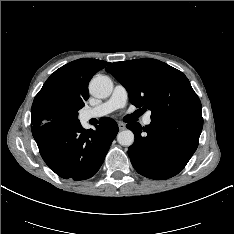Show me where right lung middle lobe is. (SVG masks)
Returning <instances> with one entry per match:
<instances>
[{"label": "right lung middle lobe", "mask_w": 234, "mask_h": 234, "mask_svg": "<svg viewBox=\"0 0 234 234\" xmlns=\"http://www.w3.org/2000/svg\"><path fill=\"white\" fill-rule=\"evenodd\" d=\"M83 106L76 108L72 112H66L62 115L61 119L63 121H79L78 120V110L82 108Z\"/></svg>", "instance_id": "right-lung-middle-lobe-1"}]
</instances>
